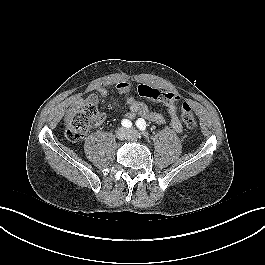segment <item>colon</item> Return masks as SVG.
I'll return each instance as SVG.
<instances>
[{
    "instance_id": "obj_1",
    "label": "colon",
    "mask_w": 265,
    "mask_h": 265,
    "mask_svg": "<svg viewBox=\"0 0 265 265\" xmlns=\"http://www.w3.org/2000/svg\"><path fill=\"white\" fill-rule=\"evenodd\" d=\"M137 93L140 97L153 101L178 100L175 94L166 93V91L146 84L138 85ZM102 116L103 113L96 104L89 102L70 110L65 118L67 138L72 142L80 141L90 128L100 121ZM180 118L186 128L193 129L195 127L194 113L191 106L186 102L181 105Z\"/></svg>"
}]
</instances>
